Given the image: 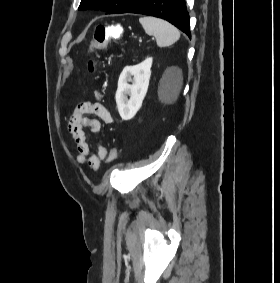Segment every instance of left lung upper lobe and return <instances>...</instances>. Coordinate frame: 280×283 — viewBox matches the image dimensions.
<instances>
[{
	"mask_svg": "<svg viewBox=\"0 0 280 283\" xmlns=\"http://www.w3.org/2000/svg\"><path fill=\"white\" fill-rule=\"evenodd\" d=\"M142 0H81L79 10L100 9L106 14L126 13Z\"/></svg>",
	"mask_w": 280,
	"mask_h": 283,
	"instance_id": "obj_1",
	"label": "left lung upper lobe"
}]
</instances>
